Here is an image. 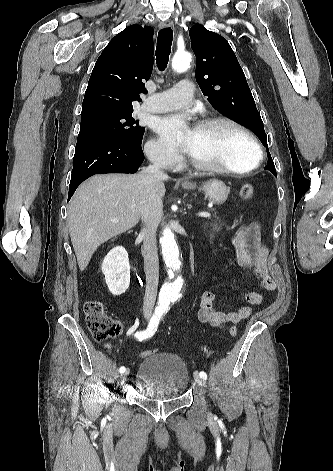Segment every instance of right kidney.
<instances>
[{
    "mask_svg": "<svg viewBox=\"0 0 333 471\" xmlns=\"http://www.w3.org/2000/svg\"><path fill=\"white\" fill-rule=\"evenodd\" d=\"M102 272L109 291L114 296H119L128 289L130 284V265L126 250L117 246L104 258Z\"/></svg>",
    "mask_w": 333,
    "mask_h": 471,
    "instance_id": "obj_1",
    "label": "right kidney"
}]
</instances>
